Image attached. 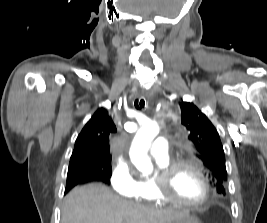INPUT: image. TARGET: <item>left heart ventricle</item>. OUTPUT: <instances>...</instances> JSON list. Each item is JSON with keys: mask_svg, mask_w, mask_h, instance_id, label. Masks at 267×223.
Instances as JSON below:
<instances>
[{"mask_svg": "<svg viewBox=\"0 0 267 223\" xmlns=\"http://www.w3.org/2000/svg\"><path fill=\"white\" fill-rule=\"evenodd\" d=\"M172 194L186 201H199L205 194V186L200 176L191 168L183 167L170 182Z\"/></svg>", "mask_w": 267, "mask_h": 223, "instance_id": "1", "label": "left heart ventricle"}]
</instances>
